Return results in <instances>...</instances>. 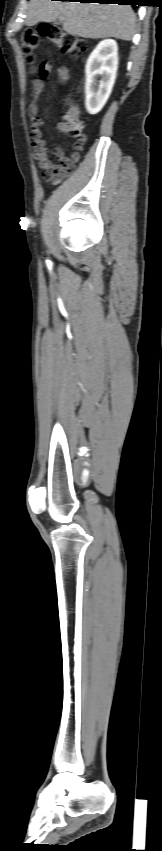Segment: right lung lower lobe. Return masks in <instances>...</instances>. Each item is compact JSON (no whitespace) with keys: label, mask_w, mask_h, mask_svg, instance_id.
I'll return each instance as SVG.
<instances>
[{"label":"right lung lower lobe","mask_w":162,"mask_h":851,"mask_svg":"<svg viewBox=\"0 0 162 851\" xmlns=\"http://www.w3.org/2000/svg\"><path fill=\"white\" fill-rule=\"evenodd\" d=\"M61 1H80L101 4H119V5H140V0H61Z\"/></svg>","instance_id":"right-lung-lower-lobe-1"}]
</instances>
